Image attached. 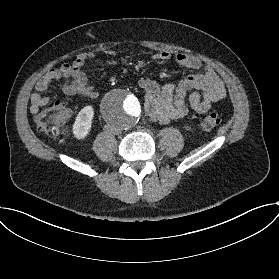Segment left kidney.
Segmentation results:
<instances>
[{"mask_svg":"<svg viewBox=\"0 0 279 279\" xmlns=\"http://www.w3.org/2000/svg\"><path fill=\"white\" fill-rule=\"evenodd\" d=\"M183 129H184L186 132H191L192 127H191V125H190L189 123L184 122V123H183Z\"/></svg>","mask_w":279,"mask_h":279,"instance_id":"obj_1","label":"left kidney"}]
</instances>
